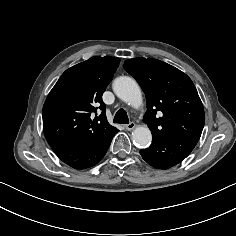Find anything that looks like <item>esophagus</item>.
Segmentation results:
<instances>
[{
  "instance_id": "obj_1",
  "label": "esophagus",
  "mask_w": 236,
  "mask_h": 236,
  "mask_svg": "<svg viewBox=\"0 0 236 236\" xmlns=\"http://www.w3.org/2000/svg\"><path fill=\"white\" fill-rule=\"evenodd\" d=\"M135 127H136V124H135L134 122H130L129 124H126V125H125V128H126L128 131L133 130Z\"/></svg>"
}]
</instances>
